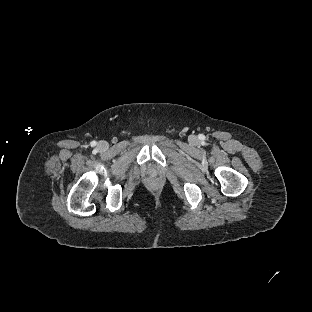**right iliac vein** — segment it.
I'll return each instance as SVG.
<instances>
[{
	"label": "right iliac vein",
	"instance_id": "obj_1",
	"mask_svg": "<svg viewBox=\"0 0 312 312\" xmlns=\"http://www.w3.org/2000/svg\"><path fill=\"white\" fill-rule=\"evenodd\" d=\"M98 147H99L100 149L106 148V147H107V142L101 141V142L98 144Z\"/></svg>",
	"mask_w": 312,
	"mask_h": 312
}]
</instances>
